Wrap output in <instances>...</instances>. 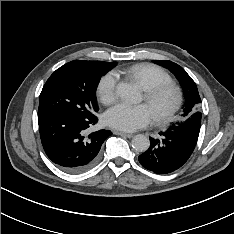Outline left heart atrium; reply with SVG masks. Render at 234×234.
I'll return each mask as SVG.
<instances>
[{
	"label": "left heart atrium",
	"instance_id": "1",
	"mask_svg": "<svg viewBox=\"0 0 234 234\" xmlns=\"http://www.w3.org/2000/svg\"><path fill=\"white\" fill-rule=\"evenodd\" d=\"M152 119V112L145 104L133 106L119 103L108 109L103 116L106 125L126 132L144 128L151 123Z\"/></svg>",
	"mask_w": 234,
	"mask_h": 234
}]
</instances>
